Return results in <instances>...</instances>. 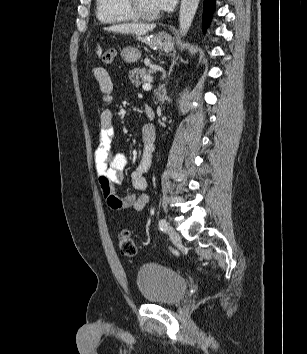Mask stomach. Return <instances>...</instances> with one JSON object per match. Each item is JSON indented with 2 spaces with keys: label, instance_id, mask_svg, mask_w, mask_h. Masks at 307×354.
I'll return each mask as SVG.
<instances>
[{
  "label": "stomach",
  "instance_id": "0dacf381",
  "mask_svg": "<svg viewBox=\"0 0 307 354\" xmlns=\"http://www.w3.org/2000/svg\"><path fill=\"white\" fill-rule=\"evenodd\" d=\"M140 40L148 44L151 48L169 52L173 49L174 43L169 34L166 32H159L153 36L140 38ZM141 56L138 49L133 47H126L121 51V57L126 63H133Z\"/></svg>",
  "mask_w": 307,
  "mask_h": 354
}]
</instances>
